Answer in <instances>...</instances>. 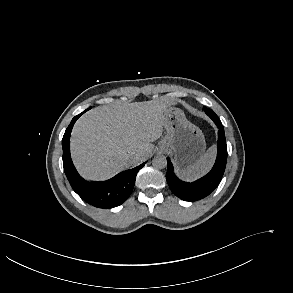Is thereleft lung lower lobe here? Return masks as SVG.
Instances as JSON below:
<instances>
[{"label": "left lung lower lobe", "instance_id": "left-lung-lower-lobe-1", "mask_svg": "<svg viewBox=\"0 0 293 293\" xmlns=\"http://www.w3.org/2000/svg\"><path fill=\"white\" fill-rule=\"evenodd\" d=\"M218 127V151L212 170L199 180L187 183L179 180L173 173V166L169 158L166 179L171 191L185 201H197L212 193L219 185L225 171L227 161V145L224 127L219 118L212 119Z\"/></svg>", "mask_w": 293, "mask_h": 293}]
</instances>
